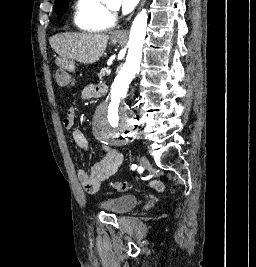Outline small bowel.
Segmentation results:
<instances>
[{"mask_svg": "<svg viewBox=\"0 0 256 267\" xmlns=\"http://www.w3.org/2000/svg\"><path fill=\"white\" fill-rule=\"evenodd\" d=\"M105 93V87L89 84L86 85L81 91V97L85 100H90ZM76 111L73 107L69 108L66 117L63 120L65 128L71 130V136L74 142L81 149L88 151L89 144L84 134L74 127ZM102 150L105 157L94 164L89 170L81 169L78 173V179L85 189L90 194L96 193L103 181L112 177L118 170L123 161L122 153L109 144H104Z\"/></svg>", "mask_w": 256, "mask_h": 267, "instance_id": "small-bowel-1", "label": "small bowel"}]
</instances>
